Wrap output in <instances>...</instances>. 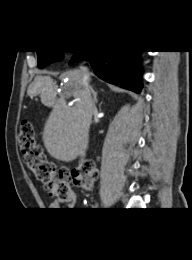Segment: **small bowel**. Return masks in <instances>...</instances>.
<instances>
[{
  "label": "small bowel",
  "instance_id": "small-bowel-1",
  "mask_svg": "<svg viewBox=\"0 0 192 260\" xmlns=\"http://www.w3.org/2000/svg\"><path fill=\"white\" fill-rule=\"evenodd\" d=\"M76 203V194L74 191H71L70 195L64 199V200H55L53 201L49 208L51 210H58L59 208H61V206H64L65 208L71 209L74 207Z\"/></svg>",
  "mask_w": 192,
  "mask_h": 260
}]
</instances>
